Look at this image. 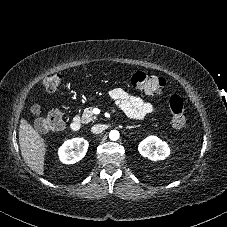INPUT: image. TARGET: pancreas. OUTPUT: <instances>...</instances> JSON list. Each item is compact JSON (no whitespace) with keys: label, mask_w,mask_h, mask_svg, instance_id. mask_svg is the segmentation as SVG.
Here are the masks:
<instances>
[{"label":"pancreas","mask_w":227,"mask_h":227,"mask_svg":"<svg viewBox=\"0 0 227 227\" xmlns=\"http://www.w3.org/2000/svg\"><path fill=\"white\" fill-rule=\"evenodd\" d=\"M93 108L94 107H88L84 109V112L81 117V122L82 123H90L93 122L96 119V116L93 113Z\"/></svg>","instance_id":"pancreas-1"}]
</instances>
